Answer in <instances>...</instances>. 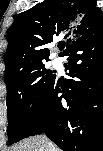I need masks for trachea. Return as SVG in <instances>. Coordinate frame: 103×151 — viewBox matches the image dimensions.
<instances>
[{"instance_id":"obj_1","label":"trachea","mask_w":103,"mask_h":151,"mask_svg":"<svg viewBox=\"0 0 103 151\" xmlns=\"http://www.w3.org/2000/svg\"><path fill=\"white\" fill-rule=\"evenodd\" d=\"M64 46H65L64 44H61V45H59V48L62 49V48H64Z\"/></svg>"}]
</instances>
